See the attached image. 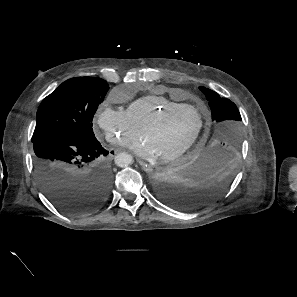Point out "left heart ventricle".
I'll list each match as a JSON object with an SVG mask.
<instances>
[{"label": "left heart ventricle", "mask_w": 297, "mask_h": 297, "mask_svg": "<svg viewBox=\"0 0 297 297\" xmlns=\"http://www.w3.org/2000/svg\"><path fill=\"white\" fill-rule=\"evenodd\" d=\"M198 124L199 116L196 111L189 108L179 110L149 129L144 138L153 144L161 157L183 146L194 134Z\"/></svg>", "instance_id": "left-heart-ventricle-1"}]
</instances>
